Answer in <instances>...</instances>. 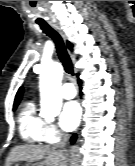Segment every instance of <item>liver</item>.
Listing matches in <instances>:
<instances>
[{
    "instance_id": "obj_1",
    "label": "liver",
    "mask_w": 135,
    "mask_h": 166,
    "mask_svg": "<svg viewBox=\"0 0 135 166\" xmlns=\"http://www.w3.org/2000/svg\"><path fill=\"white\" fill-rule=\"evenodd\" d=\"M43 160L39 166H66V156L56 146L26 144L14 147L5 166H11L18 161L34 163Z\"/></svg>"
}]
</instances>
